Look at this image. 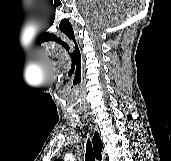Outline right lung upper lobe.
<instances>
[{
	"mask_svg": "<svg viewBox=\"0 0 171 161\" xmlns=\"http://www.w3.org/2000/svg\"><path fill=\"white\" fill-rule=\"evenodd\" d=\"M93 146H94L96 157L101 160V151H102L103 144L97 132L95 133L93 138ZM55 161H59V160H55Z\"/></svg>",
	"mask_w": 171,
	"mask_h": 161,
	"instance_id": "cb5924a9",
	"label": "right lung upper lobe"
}]
</instances>
